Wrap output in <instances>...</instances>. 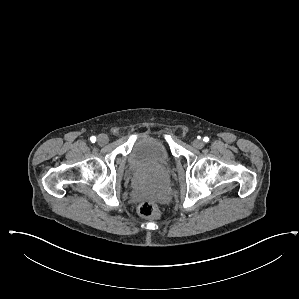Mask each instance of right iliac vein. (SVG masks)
Returning <instances> with one entry per match:
<instances>
[{
  "label": "right iliac vein",
  "mask_w": 299,
  "mask_h": 299,
  "mask_svg": "<svg viewBox=\"0 0 299 299\" xmlns=\"http://www.w3.org/2000/svg\"><path fill=\"white\" fill-rule=\"evenodd\" d=\"M108 136L105 135V134H100L98 137H97V143L99 145H105L108 143Z\"/></svg>",
  "instance_id": "1"
}]
</instances>
